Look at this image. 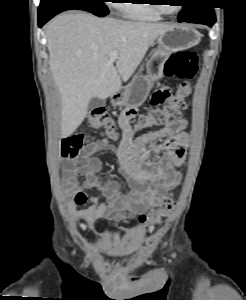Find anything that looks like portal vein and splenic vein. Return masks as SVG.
I'll return each instance as SVG.
<instances>
[{"label":"portal vein and splenic vein","instance_id":"portal-vein-and-splenic-vein-1","mask_svg":"<svg viewBox=\"0 0 246 300\" xmlns=\"http://www.w3.org/2000/svg\"><path fill=\"white\" fill-rule=\"evenodd\" d=\"M118 58V52L117 51H112L110 53V61L114 62Z\"/></svg>","mask_w":246,"mask_h":300}]
</instances>
